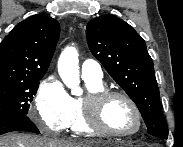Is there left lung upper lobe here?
Here are the masks:
<instances>
[{"mask_svg":"<svg viewBox=\"0 0 183 147\" xmlns=\"http://www.w3.org/2000/svg\"><path fill=\"white\" fill-rule=\"evenodd\" d=\"M86 35L92 54L139 108L148 133L167 139L153 61L145 41L115 15L89 21Z\"/></svg>","mask_w":183,"mask_h":147,"instance_id":"1","label":"left lung upper lobe"}]
</instances>
